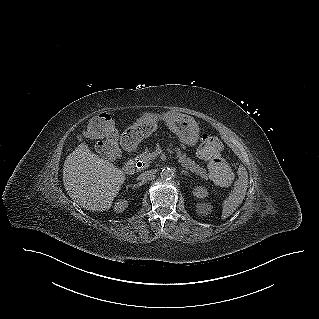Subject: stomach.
Wrapping results in <instances>:
<instances>
[{"label":"stomach","instance_id":"1","mask_svg":"<svg viewBox=\"0 0 319 319\" xmlns=\"http://www.w3.org/2000/svg\"><path fill=\"white\" fill-rule=\"evenodd\" d=\"M169 129L174 132L179 139L189 145L194 146L199 139V127L194 118L178 112H169L164 116ZM157 116L150 111H141L136 116L132 126L126 130V134L140 141L143 137L155 128Z\"/></svg>","mask_w":319,"mask_h":319}]
</instances>
